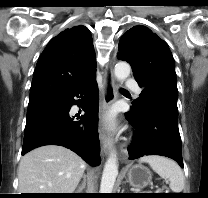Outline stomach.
Segmentation results:
<instances>
[{
	"label": "stomach",
	"mask_w": 208,
	"mask_h": 198,
	"mask_svg": "<svg viewBox=\"0 0 208 198\" xmlns=\"http://www.w3.org/2000/svg\"><path fill=\"white\" fill-rule=\"evenodd\" d=\"M127 178L131 186L142 189L150 184L152 174L148 168L137 164L129 168Z\"/></svg>",
	"instance_id": "1"
}]
</instances>
